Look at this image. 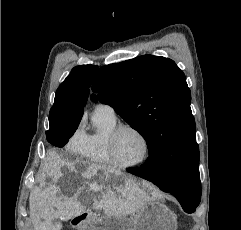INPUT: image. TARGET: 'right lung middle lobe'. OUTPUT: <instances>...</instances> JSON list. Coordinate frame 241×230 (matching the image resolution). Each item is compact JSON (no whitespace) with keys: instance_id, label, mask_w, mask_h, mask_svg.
I'll return each mask as SVG.
<instances>
[{"instance_id":"obj_1","label":"right lung middle lobe","mask_w":241,"mask_h":230,"mask_svg":"<svg viewBox=\"0 0 241 230\" xmlns=\"http://www.w3.org/2000/svg\"><path fill=\"white\" fill-rule=\"evenodd\" d=\"M79 122L53 121L50 129L46 132L47 141L54 146L63 147L68 139L74 134Z\"/></svg>"}]
</instances>
